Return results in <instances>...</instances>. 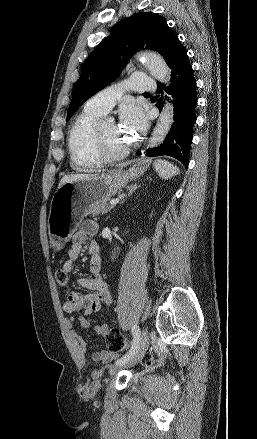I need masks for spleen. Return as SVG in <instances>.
<instances>
[{
  "label": "spleen",
  "mask_w": 257,
  "mask_h": 439,
  "mask_svg": "<svg viewBox=\"0 0 257 439\" xmlns=\"http://www.w3.org/2000/svg\"><path fill=\"white\" fill-rule=\"evenodd\" d=\"M153 166L162 179H170L180 173L178 167L166 160L157 159L154 161Z\"/></svg>",
  "instance_id": "3e777b00"
}]
</instances>
